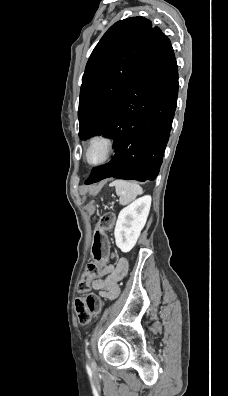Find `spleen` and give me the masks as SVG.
Segmentation results:
<instances>
[{"mask_svg": "<svg viewBox=\"0 0 228 396\" xmlns=\"http://www.w3.org/2000/svg\"><path fill=\"white\" fill-rule=\"evenodd\" d=\"M115 186L116 194L119 196L121 205H127L132 202L138 195L143 193L142 188L135 182L125 180H115L111 184Z\"/></svg>", "mask_w": 228, "mask_h": 396, "instance_id": "3e777b00", "label": "spleen"}]
</instances>
